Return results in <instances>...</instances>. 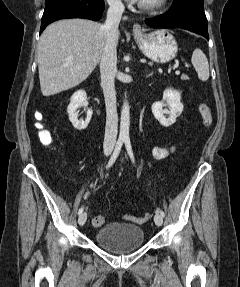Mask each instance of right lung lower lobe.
I'll list each match as a JSON object with an SVG mask.
<instances>
[{"label": "right lung lower lobe", "mask_w": 240, "mask_h": 287, "mask_svg": "<svg viewBox=\"0 0 240 287\" xmlns=\"http://www.w3.org/2000/svg\"><path fill=\"white\" fill-rule=\"evenodd\" d=\"M104 7V0H46L40 33L47 25L59 19L85 18L97 21Z\"/></svg>", "instance_id": "1"}]
</instances>
